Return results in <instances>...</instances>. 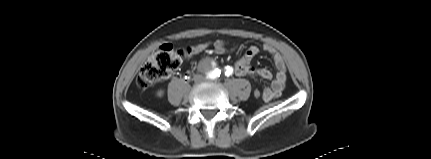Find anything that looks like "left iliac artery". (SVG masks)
Segmentation results:
<instances>
[{"instance_id": "obj_1", "label": "left iliac artery", "mask_w": 431, "mask_h": 159, "mask_svg": "<svg viewBox=\"0 0 431 159\" xmlns=\"http://www.w3.org/2000/svg\"><path fill=\"white\" fill-rule=\"evenodd\" d=\"M232 74V71H231V69H230V67H227L226 68V71H225V75L226 76H230ZM217 76V74H215V77ZM219 76V75H218Z\"/></svg>"}]
</instances>
